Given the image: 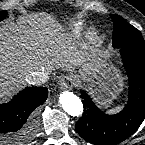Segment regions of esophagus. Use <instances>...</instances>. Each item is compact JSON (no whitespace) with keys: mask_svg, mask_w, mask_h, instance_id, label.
Instances as JSON below:
<instances>
[{"mask_svg":"<svg viewBox=\"0 0 145 145\" xmlns=\"http://www.w3.org/2000/svg\"><path fill=\"white\" fill-rule=\"evenodd\" d=\"M58 85L63 90H70L76 85V80L73 75H66L60 79Z\"/></svg>","mask_w":145,"mask_h":145,"instance_id":"34e87169","label":"esophagus"}]
</instances>
